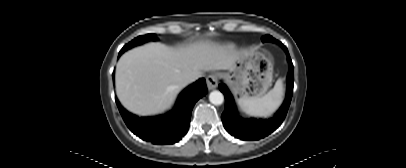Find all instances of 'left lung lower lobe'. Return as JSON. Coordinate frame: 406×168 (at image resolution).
I'll list each match as a JSON object with an SVG mask.
<instances>
[{
	"instance_id": "1",
	"label": "left lung lower lobe",
	"mask_w": 406,
	"mask_h": 168,
	"mask_svg": "<svg viewBox=\"0 0 406 168\" xmlns=\"http://www.w3.org/2000/svg\"><path fill=\"white\" fill-rule=\"evenodd\" d=\"M281 46L285 49L288 56L290 70L287 77L288 84L285 101L273 118L243 119L239 117L230 91L224 83L219 85L220 91L223 92L225 96V110L221 115V119L224 128L232 136L242 140H259L276 130L285 119L293 94L294 71L287 48L283 44Z\"/></svg>"
}]
</instances>
